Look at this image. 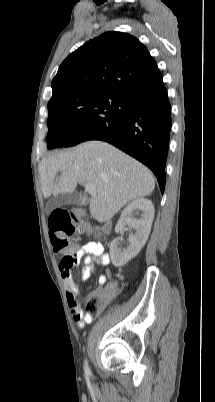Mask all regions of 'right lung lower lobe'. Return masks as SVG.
I'll list each match as a JSON object with an SVG mask.
<instances>
[{
    "label": "right lung lower lobe",
    "instance_id": "right-lung-lower-lobe-1",
    "mask_svg": "<svg viewBox=\"0 0 215 402\" xmlns=\"http://www.w3.org/2000/svg\"><path fill=\"white\" fill-rule=\"evenodd\" d=\"M171 124V105L164 87L131 98L126 113L116 123L86 140L111 143L145 164L163 193Z\"/></svg>",
    "mask_w": 215,
    "mask_h": 402
}]
</instances>
